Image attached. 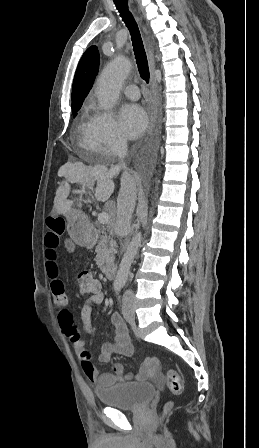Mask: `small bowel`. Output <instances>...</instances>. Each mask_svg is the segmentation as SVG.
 Returning a JSON list of instances; mask_svg holds the SVG:
<instances>
[{
  "label": "small bowel",
  "mask_w": 259,
  "mask_h": 448,
  "mask_svg": "<svg viewBox=\"0 0 259 448\" xmlns=\"http://www.w3.org/2000/svg\"><path fill=\"white\" fill-rule=\"evenodd\" d=\"M63 231L64 224L61 220L53 218L47 222L44 235L45 265L50 279L53 301L57 307L58 324L63 333L72 342L85 375L91 382L101 388L131 379L141 381L148 378H157L160 362L154 357L147 358L141 365L139 372L134 375L125 374L123 366L119 363L113 365V372H100L91 362L90 354L85 348V342L80 331L74 326L72 315L67 308L68 299L64 284L59 277L57 248ZM103 301L104 295L101 292L83 301L81 321L82 329L85 333L92 332V310L94 306L101 304ZM111 322L114 327V336L112 341H107L102 345L99 356V360L102 363H108L114 354L122 356H131L133 354V346L129 339L128 328L122 317L117 313H113L111 315Z\"/></svg>",
  "instance_id": "obj_1"
}]
</instances>
